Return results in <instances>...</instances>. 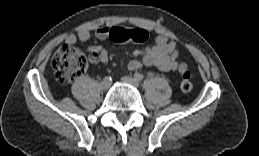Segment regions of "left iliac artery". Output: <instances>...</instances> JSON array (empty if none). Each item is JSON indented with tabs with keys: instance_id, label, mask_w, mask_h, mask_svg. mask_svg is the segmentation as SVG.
Listing matches in <instances>:
<instances>
[{
	"instance_id": "44dca946",
	"label": "left iliac artery",
	"mask_w": 259,
	"mask_h": 156,
	"mask_svg": "<svg viewBox=\"0 0 259 156\" xmlns=\"http://www.w3.org/2000/svg\"><path fill=\"white\" fill-rule=\"evenodd\" d=\"M134 78H135L137 81L140 82V81L143 80L144 76H143V74L136 73V74L134 75Z\"/></svg>"
}]
</instances>
